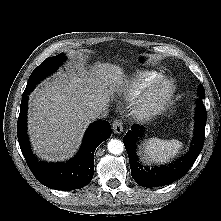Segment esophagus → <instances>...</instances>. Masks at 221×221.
Listing matches in <instances>:
<instances>
[{"label": "esophagus", "mask_w": 221, "mask_h": 221, "mask_svg": "<svg viewBox=\"0 0 221 221\" xmlns=\"http://www.w3.org/2000/svg\"><path fill=\"white\" fill-rule=\"evenodd\" d=\"M112 129L114 133L120 134L123 131V125L120 120H115L112 124Z\"/></svg>", "instance_id": "1"}]
</instances>
